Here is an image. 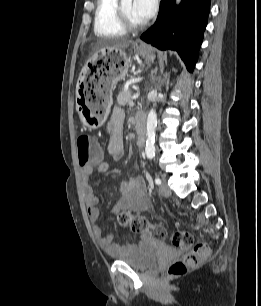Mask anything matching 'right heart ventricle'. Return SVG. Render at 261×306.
<instances>
[{"instance_id": "1", "label": "right heart ventricle", "mask_w": 261, "mask_h": 306, "mask_svg": "<svg viewBox=\"0 0 261 306\" xmlns=\"http://www.w3.org/2000/svg\"><path fill=\"white\" fill-rule=\"evenodd\" d=\"M118 0H97L94 16V33L99 37L119 38L127 30L120 22L117 12Z\"/></svg>"}]
</instances>
